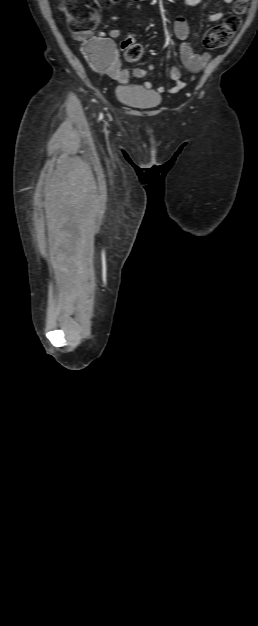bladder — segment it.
<instances>
[{
	"label": "bladder",
	"mask_w": 258,
	"mask_h": 626,
	"mask_svg": "<svg viewBox=\"0 0 258 626\" xmlns=\"http://www.w3.org/2000/svg\"><path fill=\"white\" fill-rule=\"evenodd\" d=\"M115 96L120 103L136 109H152L161 102L158 93L136 85L118 86Z\"/></svg>",
	"instance_id": "bladder-1"
}]
</instances>
